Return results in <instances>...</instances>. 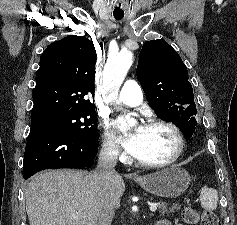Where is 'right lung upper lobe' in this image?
<instances>
[{
  "instance_id": "cb5924a9",
  "label": "right lung upper lobe",
  "mask_w": 237,
  "mask_h": 225,
  "mask_svg": "<svg viewBox=\"0 0 237 225\" xmlns=\"http://www.w3.org/2000/svg\"><path fill=\"white\" fill-rule=\"evenodd\" d=\"M96 51L84 36L70 35L50 44L40 58L31 122L93 109L85 96L94 92Z\"/></svg>"
}]
</instances>
